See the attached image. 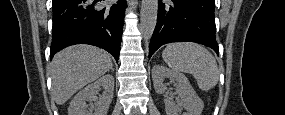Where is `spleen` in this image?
Returning <instances> with one entry per match:
<instances>
[{
	"instance_id": "obj_1",
	"label": "spleen",
	"mask_w": 285,
	"mask_h": 115,
	"mask_svg": "<svg viewBox=\"0 0 285 115\" xmlns=\"http://www.w3.org/2000/svg\"><path fill=\"white\" fill-rule=\"evenodd\" d=\"M162 58L172 71L192 74L202 91L214 88L219 81V70L214 56L199 44L170 43L163 50Z\"/></svg>"
}]
</instances>
